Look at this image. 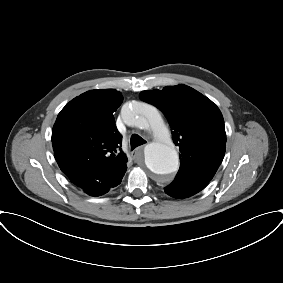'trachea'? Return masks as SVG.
<instances>
[{
	"label": "trachea",
	"instance_id": "obj_1",
	"mask_svg": "<svg viewBox=\"0 0 283 283\" xmlns=\"http://www.w3.org/2000/svg\"><path fill=\"white\" fill-rule=\"evenodd\" d=\"M130 143H131V150H133V149H135L136 147L145 144L146 141H145L142 137H140L139 135L133 134V135L131 136Z\"/></svg>",
	"mask_w": 283,
	"mask_h": 283
}]
</instances>
